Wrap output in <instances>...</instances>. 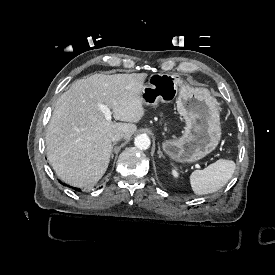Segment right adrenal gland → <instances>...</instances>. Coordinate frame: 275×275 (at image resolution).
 Masks as SVG:
<instances>
[{
    "instance_id": "1",
    "label": "right adrenal gland",
    "mask_w": 275,
    "mask_h": 275,
    "mask_svg": "<svg viewBox=\"0 0 275 275\" xmlns=\"http://www.w3.org/2000/svg\"><path fill=\"white\" fill-rule=\"evenodd\" d=\"M115 145H116V142H114V143L112 144V149H111V153H110L111 159L114 158L113 148H114Z\"/></svg>"
}]
</instances>
